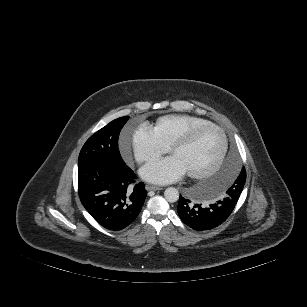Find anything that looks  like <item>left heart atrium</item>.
<instances>
[{
	"label": "left heart atrium",
	"mask_w": 307,
	"mask_h": 307,
	"mask_svg": "<svg viewBox=\"0 0 307 307\" xmlns=\"http://www.w3.org/2000/svg\"><path fill=\"white\" fill-rule=\"evenodd\" d=\"M185 173L184 167L174 156L153 161L140 170L144 180L158 184L177 181Z\"/></svg>",
	"instance_id": "39dd6f15"
}]
</instances>
